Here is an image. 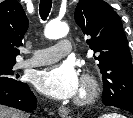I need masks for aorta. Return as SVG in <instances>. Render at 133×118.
I'll use <instances>...</instances> for the list:
<instances>
[{"mask_svg":"<svg viewBox=\"0 0 133 118\" xmlns=\"http://www.w3.org/2000/svg\"><path fill=\"white\" fill-rule=\"evenodd\" d=\"M68 26L62 22L51 21L44 30L45 37L48 39H59L68 34Z\"/></svg>","mask_w":133,"mask_h":118,"instance_id":"1","label":"aorta"}]
</instances>
